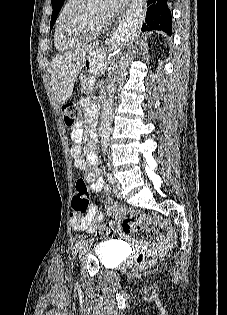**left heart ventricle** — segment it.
I'll return each instance as SVG.
<instances>
[{
    "label": "left heart ventricle",
    "mask_w": 227,
    "mask_h": 315,
    "mask_svg": "<svg viewBox=\"0 0 227 315\" xmlns=\"http://www.w3.org/2000/svg\"><path fill=\"white\" fill-rule=\"evenodd\" d=\"M105 24L100 13V1L89 0L86 12L83 18V25L86 28L95 29Z\"/></svg>",
    "instance_id": "left-heart-ventricle-1"
}]
</instances>
